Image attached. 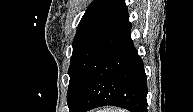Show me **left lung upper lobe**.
<instances>
[{
    "label": "left lung upper lobe",
    "instance_id": "left-lung-upper-lobe-1",
    "mask_svg": "<svg viewBox=\"0 0 193 112\" xmlns=\"http://www.w3.org/2000/svg\"><path fill=\"white\" fill-rule=\"evenodd\" d=\"M126 8L124 0H93L83 15L73 40L69 75L88 43Z\"/></svg>",
    "mask_w": 193,
    "mask_h": 112
}]
</instances>
